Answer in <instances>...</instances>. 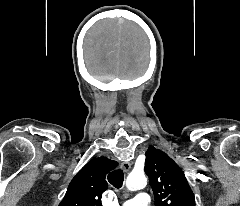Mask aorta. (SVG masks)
Here are the masks:
<instances>
[{
  "label": "aorta",
  "mask_w": 240,
  "mask_h": 206,
  "mask_svg": "<svg viewBox=\"0 0 240 206\" xmlns=\"http://www.w3.org/2000/svg\"><path fill=\"white\" fill-rule=\"evenodd\" d=\"M147 183L143 172H131L126 179V187L130 191H136L143 188Z\"/></svg>",
  "instance_id": "aorta-1"
}]
</instances>
